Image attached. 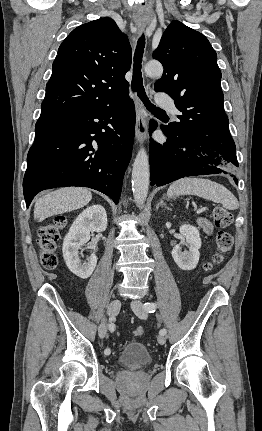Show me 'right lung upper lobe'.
Masks as SVG:
<instances>
[{"mask_svg": "<svg viewBox=\"0 0 262 431\" xmlns=\"http://www.w3.org/2000/svg\"><path fill=\"white\" fill-rule=\"evenodd\" d=\"M132 50L115 21L102 18L74 29L58 49L41 114L98 111L128 96Z\"/></svg>", "mask_w": 262, "mask_h": 431, "instance_id": "1", "label": "right lung upper lobe"}]
</instances>
